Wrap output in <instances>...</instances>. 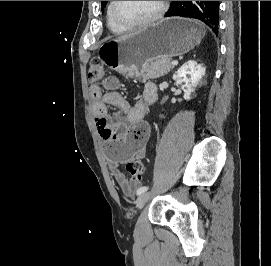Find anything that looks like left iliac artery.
I'll use <instances>...</instances> for the list:
<instances>
[{"mask_svg":"<svg viewBox=\"0 0 271 266\" xmlns=\"http://www.w3.org/2000/svg\"><path fill=\"white\" fill-rule=\"evenodd\" d=\"M149 189L148 186H142L137 190V195H141L143 193H145L147 190Z\"/></svg>","mask_w":271,"mask_h":266,"instance_id":"left-iliac-artery-1","label":"left iliac artery"}]
</instances>
